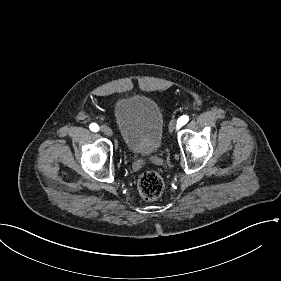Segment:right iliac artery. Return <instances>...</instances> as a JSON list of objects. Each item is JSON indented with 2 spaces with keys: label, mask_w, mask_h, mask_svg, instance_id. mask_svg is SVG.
I'll list each match as a JSON object with an SVG mask.
<instances>
[{
  "label": "right iliac artery",
  "mask_w": 281,
  "mask_h": 281,
  "mask_svg": "<svg viewBox=\"0 0 281 281\" xmlns=\"http://www.w3.org/2000/svg\"><path fill=\"white\" fill-rule=\"evenodd\" d=\"M90 129L94 132H97L99 130V126L96 123H92L90 125Z\"/></svg>",
  "instance_id": "obj_1"
}]
</instances>
